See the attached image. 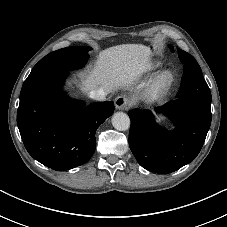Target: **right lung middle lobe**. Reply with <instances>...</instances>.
I'll use <instances>...</instances> for the list:
<instances>
[{"label": "right lung middle lobe", "instance_id": "right-lung-middle-lobe-1", "mask_svg": "<svg viewBox=\"0 0 227 227\" xmlns=\"http://www.w3.org/2000/svg\"><path fill=\"white\" fill-rule=\"evenodd\" d=\"M90 47H67L51 52L32 69L24 84L54 72H69L83 67L89 57Z\"/></svg>", "mask_w": 227, "mask_h": 227}]
</instances>
